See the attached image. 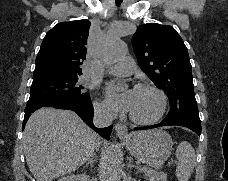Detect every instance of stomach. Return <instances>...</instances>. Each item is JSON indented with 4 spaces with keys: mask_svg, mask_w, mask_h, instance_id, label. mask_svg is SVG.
<instances>
[{
    "mask_svg": "<svg viewBox=\"0 0 228 181\" xmlns=\"http://www.w3.org/2000/svg\"><path fill=\"white\" fill-rule=\"evenodd\" d=\"M133 157L145 163L147 167L160 169L171 155L173 143L170 135L155 129V131H141L130 133L127 137H120Z\"/></svg>",
    "mask_w": 228,
    "mask_h": 181,
    "instance_id": "stomach-1",
    "label": "stomach"
}]
</instances>
